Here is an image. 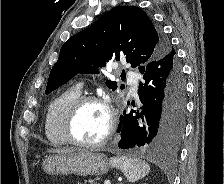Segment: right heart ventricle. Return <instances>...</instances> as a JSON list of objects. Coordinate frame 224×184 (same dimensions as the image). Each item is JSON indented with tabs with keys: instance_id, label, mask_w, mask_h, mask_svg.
<instances>
[{
	"instance_id": "obj_1",
	"label": "right heart ventricle",
	"mask_w": 224,
	"mask_h": 184,
	"mask_svg": "<svg viewBox=\"0 0 224 184\" xmlns=\"http://www.w3.org/2000/svg\"><path fill=\"white\" fill-rule=\"evenodd\" d=\"M79 96L80 90L72 87L61 92L50 103L45 118V135L53 145L67 144L63 133L64 116L71 103Z\"/></svg>"
}]
</instances>
